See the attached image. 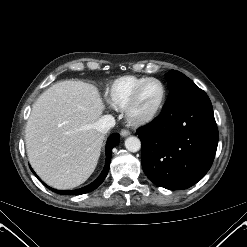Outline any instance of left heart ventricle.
<instances>
[{
  "mask_svg": "<svg viewBox=\"0 0 247 247\" xmlns=\"http://www.w3.org/2000/svg\"><path fill=\"white\" fill-rule=\"evenodd\" d=\"M162 97V87L157 82L148 83L140 92L133 106L132 113L137 117H143L152 113L158 106Z\"/></svg>",
  "mask_w": 247,
  "mask_h": 247,
  "instance_id": "1",
  "label": "left heart ventricle"
}]
</instances>
